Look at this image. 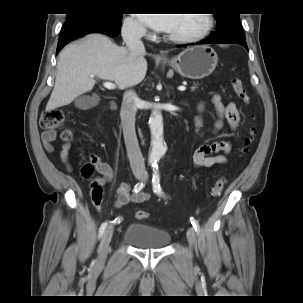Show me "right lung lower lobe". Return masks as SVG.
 I'll return each mask as SVG.
<instances>
[{
  "label": "right lung lower lobe",
  "instance_id": "98d812e1",
  "mask_svg": "<svg viewBox=\"0 0 303 303\" xmlns=\"http://www.w3.org/2000/svg\"><path fill=\"white\" fill-rule=\"evenodd\" d=\"M121 20L78 14L67 18L58 41L57 54L70 41L89 33H102L110 37L119 34Z\"/></svg>",
  "mask_w": 303,
  "mask_h": 303
}]
</instances>
